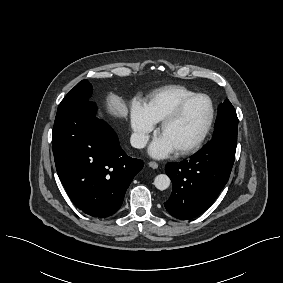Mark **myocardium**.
<instances>
[{"mask_svg": "<svg viewBox=\"0 0 283 283\" xmlns=\"http://www.w3.org/2000/svg\"><path fill=\"white\" fill-rule=\"evenodd\" d=\"M198 98H206L210 102V107H211L210 117H209L207 125H206L205 129L203 130L202 134L200 135V137L194 143L175 151V153L179 156L190 155V154L195 153L196 151H198L202 147L205 140L207 139V137H208V135H209V133H210L212 127H213L214 120H215V113H216L215 104H214V101L212 100V98L209 95L204 94V93H195V94L185 98L183 101H181L176 106V108L167 117H165L161 121V124L158 128V134L160 135L171 124H173L175 121H177L179 119V117L182 115L185 108L191 102H193L194 100H196Z\"/></svg>", "mask_w": 283, "mask_h": 283, "instance_id": "myocardium-1", "label": "myocardium"}]
</instances>
